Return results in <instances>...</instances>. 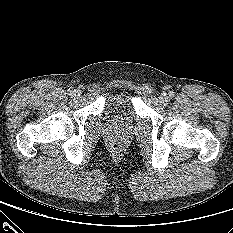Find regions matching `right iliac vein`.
<instances>
[{
	"mask_svg": "<svg viewBox=\"0 0 233 233\" xmlns=\"http://www.w3.org/2000/svg\"><path fill=\"white\" fill-rule=\"evenodd\" d=\"M72 96L76 99H79L81 96H82V92L81 90L77 89V90H74L73 93H72Z\"/></svg>",
	"mask_w": 233,
	"mask_h": 233,
	"instance_id": "63e3f726",
	"label": "right iliac vein"
}]
</instances>
